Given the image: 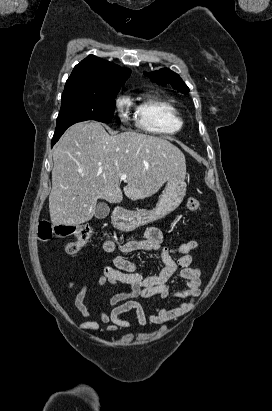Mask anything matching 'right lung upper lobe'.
<instances>
[{
    "mask_svg": "<svg viewBox=\"0 0 272 411\" xmlns=\"http://www.w3.org/2000/svg\"><path fill=\"white\" fill-rule=\"evenodd\" d=\"M131 70L94 55L77 64L67 79L64 92L88 91L109 85H123Z\"/></svg>",
    "mask_w": 272,
    "mask_h": 411,
    "instance_id": "right-lung-upper-lobe-1",
    "label": "right lung upper lobe"
}]
</instances>
